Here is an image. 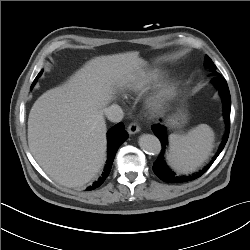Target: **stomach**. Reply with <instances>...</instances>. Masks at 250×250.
<instances>
[{
    "label": "stomach",
    "instance_id": "obj_1",
    "mask_svg": "<svg viewBox=\"0 0 250 250\" xmlns=\"http://www.w3.org/2000/svg\"><path fill=\"white\" fill-rule=\"evenodd\" d=\"M186 114L180 112L177 115H174L168 120V124L172 128H179L186 122Z\"/></svg>",
    "mask_w": 250,
    "mask_h": 250
}]
</instances>
